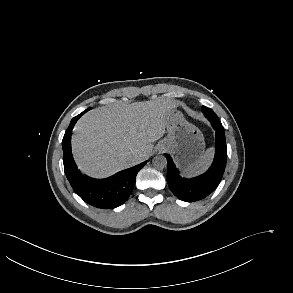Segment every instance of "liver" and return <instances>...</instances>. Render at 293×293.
Segmentation results:
<instances>
[{
	"label": "liver",
	"mask_w": 293,
	"mask_h": 293,
	"mask_svg": "<svg viewBox=\"0 0 293 293\" xmlns=\"http://www.w3.org/2000/svg\"><path fill=\"white\" fill-rule=\"evenodd\" d=\"M176 107L175 102L156 99L90 110L79 119L72 136L79 168L102 178L145 160L152 143L165 133L166 115ZM136 154L139 160L134 159Z\"/></svg>",
	"instance_id": "1"
}]
</instances>
